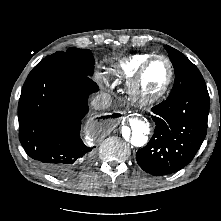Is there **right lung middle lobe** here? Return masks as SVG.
Instances as JSON below:
<instances>
[{
  "label": "right lung middle lobe",
  "instance_id": "obj_1",
  "mask_svg": "<svg viewBox=\"0 0 221 221\" xmlns=\"http://www.w3.org/2000/svg\"><path fill=\"white\" fill-rule=\"evenodd\" d=\"M56 63L61 67L85 76L92 75L94 69V58L90 50L69 48L66 52L58 51L46 56L38 65Z\"/></svg>",
  "mask_w": 221,
  "mask_h": 221
}]
</instances>
